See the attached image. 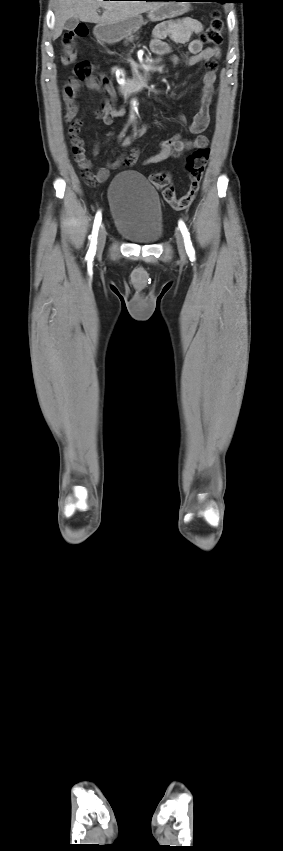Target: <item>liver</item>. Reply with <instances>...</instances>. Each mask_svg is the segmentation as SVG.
Wrapping results in <instances>:
<instances>
[{
	"label": "liver",
	"mask_w": 283,
	"mask_h": 851,
	"mask_svg": "<svg viewBox=\"0 0 283 851\" xmlns=\"http://www.w3.org/2000/svg\"><path fill=\"white\" fill-rule=\"evenodd\" d=\"M156 1H109V0H57L53 39L61 34L65 22L77 18L84 22L114 24L135 17L158 7ZM104 12L99 16L97 9Z\"/></svg>",
	"instance_id": "obj_1"
}]
</instances>
